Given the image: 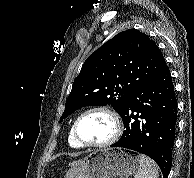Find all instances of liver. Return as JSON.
Wrapping results in <instances>:
<instances>
[{
  "mask_svg": "<svg viewBox=\"0 0 194 178\" xmlns=\"http://www.w3.org/2000/svg\"><path fill=\"white\" fill-rule=\"evenodd\" d=\"M78 162L77 161H75V162H72L70 165H75V164H77Z\"/></svg>",
  "mask_w": 194,
  "mask_h": 178,
  "instance_id": "obj_1",
  "label": "liver"
}]
</instances>
